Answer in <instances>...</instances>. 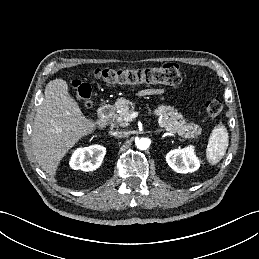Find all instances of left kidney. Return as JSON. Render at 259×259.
<instances>
[{
  "label": "left kidney",
  "instance_id": "obj_1",
  "mask_svg": "<svg viewBox=\"0 0 259 259\" xmlns=\"http://www.w3.org/2000/svg\"><path fill=\"white\" fill-rule=\"evenodd\" d=\"M166 161L177 173H191L200 167V161L194 154L193 146L171 150L166 155Z\"/></svg>",
  "mask_w": 259,
  "mask_h": 259
}]
</instances>
